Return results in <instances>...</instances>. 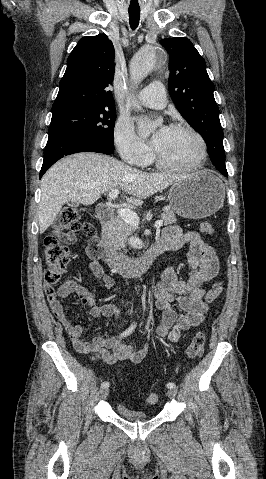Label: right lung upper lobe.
<instances>
[{
	"label": "right lung upper lobe",
	"mask_w": 266,
	"mask_h": 479,
	"mask_svg": "<svg viewBox=\"0 0 266 479\" xmlns=\"http://www.w3.org/2000/svg\"><path fill=\"white\" fill-rule=\"evenodd\" d=\"M114 46L105 34L83 37L67 59L52 113L69 109L115 108L111 91Z\"/></svg>",
	"instance_id": "1"
}]
</instances>
